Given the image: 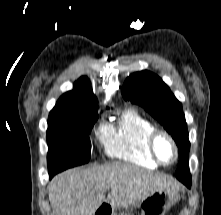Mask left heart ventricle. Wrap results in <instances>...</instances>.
I'll list each match as a JSON object with an SVG mask.
<instances>
[{"instance_id": "1", "label": "left heart ventricle", "mask_w": 221, "mask_h": 215, "mask_svg": "<svg viewBox=\"0 0 221 215\" xmlns=\"http://www.w3.org/2000/svg\"><path fill=\"white\" fill-rule=\"evenodd\" d=\"M158 151L160 153V156L164 160H169L171 157V148L169 144L165 140H160L158 143Z\"/></svg>"}]
</instances>
